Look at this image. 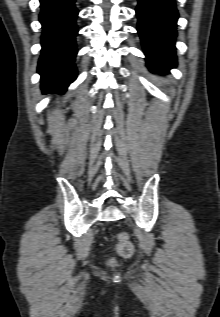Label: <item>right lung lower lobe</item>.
Returning a JSON list of instances; mask_svg holds the SVG:
<instances>
[{
  "mask_svg": "<svg viewBox=\"0 0 220 317\" xmlns=\"http://www.w3.org/2000/svg\"><path fill=\"white\" fill-rule=\"evenodd\" d=\"M39 15L43 28L42 54L38 73L44 92H64L76 79L75 23L78 10L75 0H40Z\"/></svg>",
  "mask_w": 220,
  "mask_h": 317,
  "instance_id": "right-lung-lower-lobe-1",
  "label": "right lung lower lobe"
}]
</instances>
